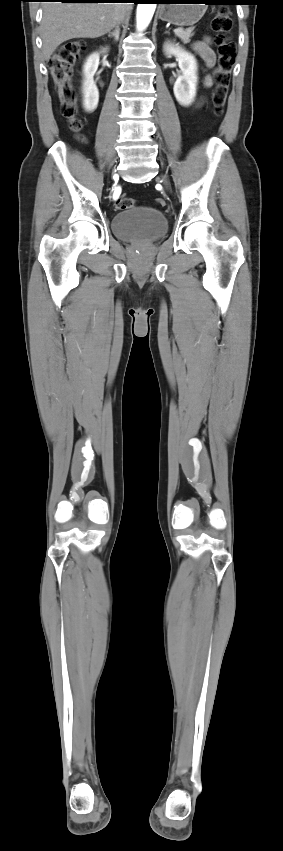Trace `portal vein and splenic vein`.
<instances>
[{
	"mask_svg": "<svg viewBox=\"0 0 283 851\" xmlns=\"http://www.w3.org/2000/svg\"><path fill=\"white\" fill-rule=\"evenodd\" d=\"M180 30H181L180 28H177V29H174V32H178Z\"/></svg>",
	"mask_w": 283,
	"mask_h": 851,
	"instance_id": "1",
	"label": "portal vein and splenic vein"
}]
</instances>
